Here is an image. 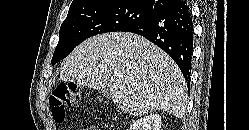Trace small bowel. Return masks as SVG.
<instances>
[{
    "mask_svg": "<svg viewBox=\"0 0 249 130\" xmlns=\"http://www.w3.org/2000/svg\"><path fill=\"white\" fill-rule=\"evenodd\" d=\"M84 130H101V128L99 126L94 125V126H90L88 128H85Z\"/></svg>",
    "mask_w": 249,
    "mask_h": 130,
    "instance_id": "obj_1",
    "label": "small bowel"
}]
</instances>
